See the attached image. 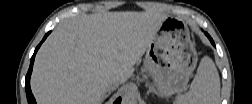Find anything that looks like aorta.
Wrapping results in <instances>:
<instances>
[{
    "label": "aorta",
    "mask_w": 252,
    "mask_h": 104,
    "mask_svg": "<svg viewBox=\"0 0 252 104\" xmlns=\"http://www.w3.org/2000/svg\"><path fill=\"white\" fill-rule=\"evenodd\" d=\"M135 97L132 95H125L122 102L124 104H134L135 103Z\"/></svg>",
    "instance_id": "aorta-1"
}]
</instances>
